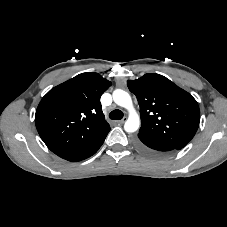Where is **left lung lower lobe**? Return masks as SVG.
<instances>
[{"label": "left lung lower lobe", "mask_w": 227, "mask_h": 227, "mask_svg": "<svg viewBox=\"0 0 227 227\" xmlns=\"http://www.w3.org/2000/svg\"><path fill=\"white\" fill-rule=\"evenodd\" d=\"M136 146L143 151L144 153L151 155V156H164L171 151H174L175 148L169 146L167 144H163L160 142L144 139V138H137L136 139Z\"/></svg>", "instance_id": "1"}]
</instances>
